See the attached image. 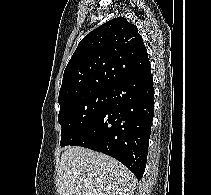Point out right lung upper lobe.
Listing matches in <instances>:
<instances>
[{
    "instance_id": "obj_1",
    "label": "right lung upper lobe",
    "mask_w": 211,
    "mask_h": 195,
    "mask_svg": "<svg viewBox=\"0 0 211 195\" xmlns=\"http://www.w3.org/2000/svg\"><path fill=\"white\" fill-rule=\"evenodd\" d=\"M151 69L136 25L114 18L81 40L63 75L58 102L91 89L115 84Z\"/></svg>"
}]
</instances>
